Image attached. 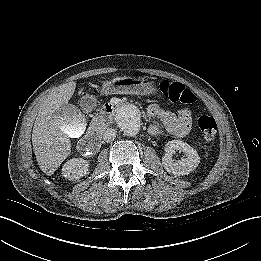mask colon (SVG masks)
I'll list each match as a JSON object with an SVG mask.
<instances>
[{"instance_id": "5ec220e1", "label": "colon", "mask_w": 261, "mask_h": 261, "mask_svg": "<svg viewBox=\"0 0 261 261\" xmlns=\"http://www.w3.org/2000/svg\"><path fill=\"white\" fill-rule=\"evenodd\" d=\"M160 92L173 103L193 104L196 100L194 93L179 82L163 80L159 86ZM198 126L206 143L210 144L216 137L217 124L210 116H200Z\"/></svg>"}]
</instances>
